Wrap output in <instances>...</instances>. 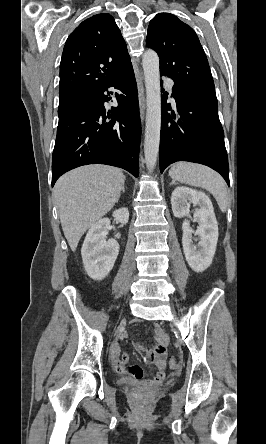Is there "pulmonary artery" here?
<instances>
[{
  "instance_id": "e3ab8cb5",
  "label": "pulmonary artery",
  "mask_w": 266,
  "mask_h": 444,
  "mask_svg": "<svg viewBox=\"0 0 266 444\" xmlns=\"http://www.w3.org/2000/svg\"><path fill=\"white\" fill-rule=\"evenodd\" d=\"M166 85L168 87V89L171 91L172 90V86H173V82L171 80H166Z\"/></svg>"
}]
</instances>
